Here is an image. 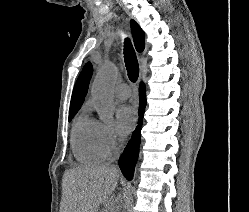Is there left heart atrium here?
Listing matches in <instances>:
<instances>
[{"label":"left heart atrium","mask_w":249,"mask_h":212,"mask_svg":"<svg viewBox=\"0 0 249 212\" xmlns=\"http://www.w3.org/2000/svg\"><path fill=\"white\" fill-rule=\"evenodd\" d=\"M136 115L134 110L128 106H120L115 113V131L119 137L126 136L134 127Z\"/></svg>","instance_id":"39dd6f15"}]
</instances>
